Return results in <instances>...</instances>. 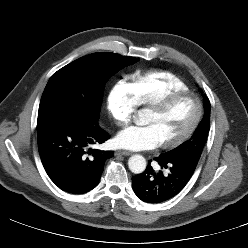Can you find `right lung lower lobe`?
Wrapping results in <instances>:
<instances>
[{
  "mask_svg": "<svg viewBox=\"0 0 248 248\" xmlns=\"http://www.w3.org/2000/svg\"><path fill=\"white\" fill-rule=\"evenodd\" d=\"M109 137L91 120L52 115L37 122L38 150L45 171L57 187L71 194H84L98 185L105 161L114 152L88 148Z\"/></svg>",
  "mask_w": 248,
  "mask_h": 248,
  "instance_id": "obj_1",
  "label": "right lung lower lobe"
}]
</instances>
